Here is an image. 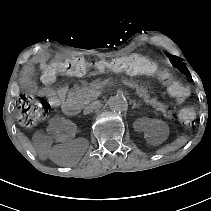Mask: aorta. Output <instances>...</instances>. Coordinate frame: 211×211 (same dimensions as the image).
Listing matches in <instances>:
<instances>
[{
    "mask_svg": "<svg viewBox=\"0 0 211 211\" xmlns=\"http://www.w3.org/2000/svg\"><path fill=\"white\" fill-rule=\"evenodd\" d=\"M109 108L115 112H123L127 110V101L121 96H112L108 100Z\"/></svg>",
    "mask_w": 211,
    "mask_h": 211,
    "instance_id": "obj_1",
    "label": "aorta"
}]
</instances>
